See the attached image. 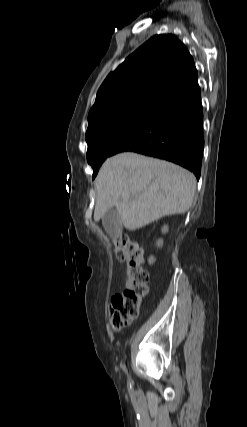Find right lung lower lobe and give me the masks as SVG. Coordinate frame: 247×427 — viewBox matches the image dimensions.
Returning a JSON list of instances; mask_svg holds the SVG:
<instances>
[{"mask_svg":"<svg viewBox=\"0 0 247 427\" xmlns=\"http://www.w3.org/2000/svg\"><path fill=\"white\" fill-rule=\"evenodd\" d=\"M204 149L203 112L198 82L161 103L112 152L133 151L179 164L200 178Z\"/></svg>","mask_w":247,"mask_h":427,"instance_id":"98d812e1","label":"right lung lower lobe"}]
</instances>
